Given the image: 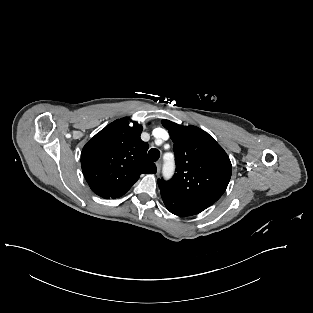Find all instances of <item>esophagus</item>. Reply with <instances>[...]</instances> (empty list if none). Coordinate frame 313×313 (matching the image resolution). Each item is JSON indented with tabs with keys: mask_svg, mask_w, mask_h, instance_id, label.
Instances as JSON below:
<instances>
[{
	"mask_svg": "<svg viewBox=\"0 0 313 313\" xmlns=\"http://www.w3.org/2000/svg\"><path fill=\"white\" fill-rule=\"evenodd\" d=\"M156 168H157V174H159V173H160V170H161V162H160V161H158V162L156 163Z\"/></svg>",
	"mask_w": 313,
	"mask_h": 313,
	"instance_id": "34e87169",
	"label": "esophagus"
}]
</instances>
